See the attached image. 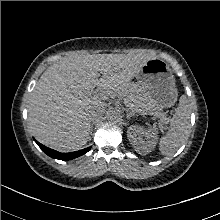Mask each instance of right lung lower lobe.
<instances>
[{"label":"right lung lower lobe","mask_w":220,"mask_h":220,"mask_svg":"<svg viewBox=\"0 0 220 220\" xmlns=\"http://www.w3.org/2000/svg\"><path fill=\"white\" fill-rule=\"evenodd\" d=\"M35 142L38 144V146L50 157L54 158V159H59V160H71L74 159L76 157H79L85 153H87L91 147H88L86 149L80 150V151H76V152H72V153H60L57 152L53 149H50L44 145H42L41 143H39L38 141L35 140Z\"/></svg>","instance_id":"1"}]
</instances>
